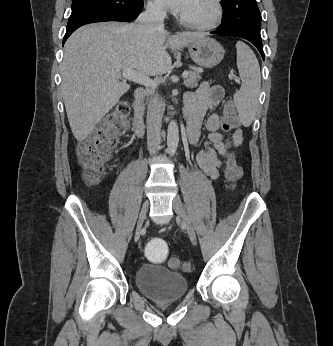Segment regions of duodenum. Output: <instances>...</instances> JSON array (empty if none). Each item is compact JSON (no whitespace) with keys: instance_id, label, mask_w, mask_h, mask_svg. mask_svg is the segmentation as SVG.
I'll return each instance as SVG.
<instances>
[{"instance_id":"obj_1","label":"duodenum","mask_w":333,"mask_h":346,"mask_svg":"<svg viewBox=\"0 0 333 346\" xmlns=\"http://www.w3.org/2000/svg\"><path fill=\"white\" fill-rule=\"evenodd\" d=\"M134 101H133V114H132V129L134 133L141 137L145 132V123L143 120V100L145 98V91L142 88L134 90Z\"/></svg>"}]
</instances>
